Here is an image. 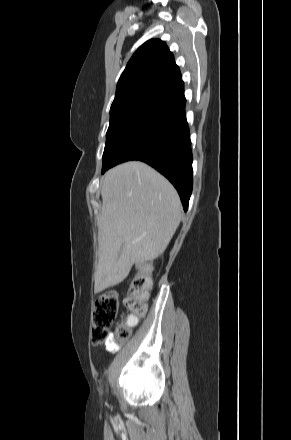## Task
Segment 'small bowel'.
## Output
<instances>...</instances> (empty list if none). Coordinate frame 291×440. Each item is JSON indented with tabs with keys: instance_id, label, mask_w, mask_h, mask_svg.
Returning a JSON list of instances; mask_svg holds the SVG:
<instances>
[{
	"instance_id": "1",
	"label": "small bowel",
	"mask_w": 291,
	"mask_h": 440,
	"mask_svg": "<svg viewBox=\"0 0 291 440\" xmlns=\"http://www.w3.org/2000/svg\"><path fill=\"white\" fill-rule=\"evenodd\" d=\"M139 322V319L135 316H128L125 320V325L127 326H136ZM105 349L107 352H111L114 353L116 351H118L119 349V345L116 342H106L105 343Z\"/></svg>"
}]
</instances>
